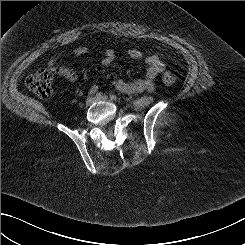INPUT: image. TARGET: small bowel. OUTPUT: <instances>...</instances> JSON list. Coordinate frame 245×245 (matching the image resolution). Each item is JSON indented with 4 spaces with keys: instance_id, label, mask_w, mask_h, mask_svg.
I'll list each match as a JSON object with an SVG mask.
<instances>
[{
    "instance_id": "small-bowel-1",
    "label": "small bowel",
    "mask_w": 245,
    "mask_h": 245,
    "mask_svg": "<svg viewBox=\"0 0 245 245\" xmlns=\"http://www.w3.org/2000/svg\"><path fill=\"white\" fill-rule=\"evenodd\" d=\"M87 53L84 48H76L72 51L73 56H81ZM128 57L133 60H143L147 65L144 76L134 81H125L123 79H115L112 81V86L118 91L125 94H137L142 92H153L155 90V79L165 70L164 62L157 55H149L144 57L142 52L137 49H131L127 53ZM61 55L52 57L48 62V67L58 76L65 78L70 82L78 79V75L74 69L60 65L58 59ZM118 60L117 54L113 50H105L102 64L109 66ZM97 86H92L90 93H95Z\"/></svg>"
}]
</instances>
